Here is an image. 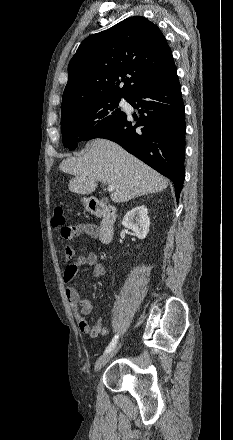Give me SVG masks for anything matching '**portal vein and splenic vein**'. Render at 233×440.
Returning <instances> with one entry per match:
<instances>
[{
    "label": "portal vein and splenic vein",
    "mask_w": 233,
    "mask_h": 440,
    "mask_svg": "<svg viewBox=\"0 0 233 440\" xmlns=\"http://www.w3.org/2000/svg\"><path fill=\"white\" fill-rule=\"evenodd\" d=\"M114 189H115V186H113V185H109L108 188H107V190H108L109 192L114 191Z\"/></svg>",
    "instance_id": "obj_1"
}]
</instances>
